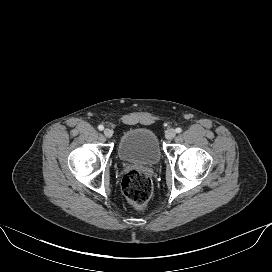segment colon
<instances>
[{
	"label": "colon",
	"mask_w": 272,
	"mask_h": 272,
	"mask_svg": "<svg viewBox=\"0 0 272 272\" xmlns=\"http://www.w3.org/2000/svg\"><path fill=\"white\" fill-rule=\"evenodd\" d=\"M122 191L131 204L144 207L152 195L153 185L146 174L132 170L126 173L122 179Z\"/></svg>",
	"instance_id": "1"
}]
</instances>
